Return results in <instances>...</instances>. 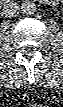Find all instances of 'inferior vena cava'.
<instances>
[{
	"mask_svg": "<svg viewBox=\"0 0 63 107\" xmlns=\"http://www.w3.org/2000/svg\"><path fill=\"white\" fill-rule=\"evenodd\" d=\"M19 9H20V7L18 6L17 3L9 2V3L4 5L3 14L9 18L15 17L18 15Z\"/></svg>",
	"mask_w": 63,
	"mask_h": 107,
	"instance_id": "inferior-vena-cava-1",
	"label": "inferior vena cava"
}]
</instances>
